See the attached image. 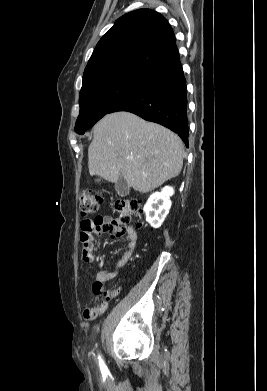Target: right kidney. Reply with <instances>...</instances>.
<instances>
[{"label":"right kidney","instance_id":"right-kidney-1","mask_svg":"<svg viewBox=\"0 0 267 391\" xmlns=\"http://www.w3.org/2000/svg\"><path fill=\"white\" fill-rule=\"evenodd\" d=\"M174 194L172 187L166 186L161 192L153 193L144 206L146 220L154 228H158L163 223L171 207L170 196Z\"/></svg>","mask_w":267,"mask_h":391}]
</instances>
